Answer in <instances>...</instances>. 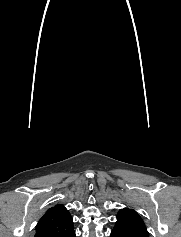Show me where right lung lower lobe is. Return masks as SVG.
I'll return each mask as SVG.
<instances>
[{
  "instance_id": "right-lung-lower-lobe-1",
  "label": "right lung lower lobe",
  "mask_w": 181,
  "mask_h": 237,
  "mask_svg": "<svg viewBox=\"0 0 181 237\" xmlns=\"http://www.w3.org/2000/svg\"><path fill=\"white\" fill-rule=\"evenodd\" d=\"M70 237H76L75 232H73Z\"/></svg>"
}]
</instances>
